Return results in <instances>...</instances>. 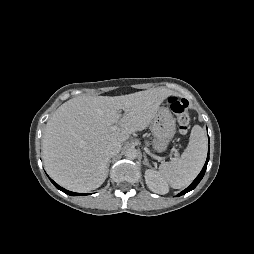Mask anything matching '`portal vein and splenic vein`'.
<instances>
[{
    "mask_svg": "<svg viewBox=\"0 0 254 254\" xmlns=\"http://www.w3.org/2000/svg\"><path fill=\"white\" fill-rule=\"evenodd\" d=\"M118 125H114V126H112L110 129H111V131H116V130H118Z\"/></svg>",
    "mask_w": 254,
    "mask_h": 254,
    "instance_id": "obj_1",
    "label": "portal vein and splenic vein"
}]
</instances>
